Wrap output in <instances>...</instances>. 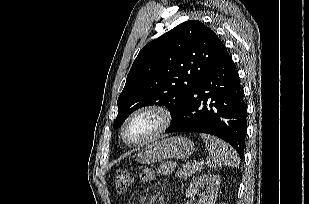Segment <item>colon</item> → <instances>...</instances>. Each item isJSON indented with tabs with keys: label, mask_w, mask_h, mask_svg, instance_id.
Wrapping results in <instances>:
<instances>
[{
	"label": "colon",
	"mask_w": 309,
	"mask_h": 204,
	"mask_svg": "<svg viewBox=\"0 0 309 204\" xmlns=\"http://www.w3.org/2000/svg\"><path fill=\"white\" fill-rule=\"evenodd\" d=\"M133 174L127 169H121L118 171L115 177V188L119 194H124L133 181Z\"/></svg>",
	"instance_id": "colon-1"
}]
</instances>
